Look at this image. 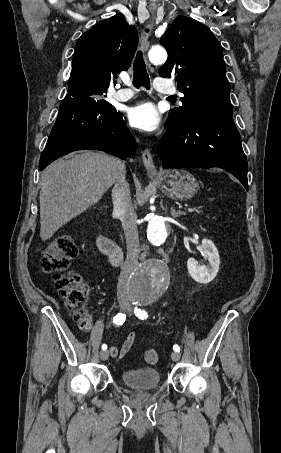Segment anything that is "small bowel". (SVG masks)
<instances>
[{
	"mask_svg": "<svg viewBox=\"0 0 281 453\" xmlns=\"http://www.w3.org/2000/svg\"><path fill=\"white\" fill-rule=\"evenodd\" d=\"M135 340V334L130 333L126 340L124 341L123 345L121 348H118L116 346H111L109 348V353L119 359L124 358L131 350V347L134 343Z\"/></svg>",
	"mask_w": 281,
	"mask_h": 453,
	"instance_id": "1",
	"label": "small bowel"
}]
</instances>
